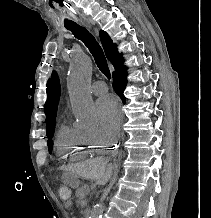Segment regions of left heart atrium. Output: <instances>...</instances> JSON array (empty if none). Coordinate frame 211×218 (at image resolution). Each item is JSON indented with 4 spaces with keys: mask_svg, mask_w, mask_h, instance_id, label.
Listing matches in <instances>:
<instances>
[{
    "mask_svg": "<svg viewBox=\"0 0 211 218\" xmlns=\"http://www.w3.org/2000/svg\"><path fill=\"white\" fill-rule=\"evenodd\" d=\"M96 111L102 129L110 135H115L122 119L121 106L114 96L107 95L96 103Z\"/></svg>",
    "mask_w": 211,
    "mask_h": 218,
    "instance_id": "obj_1",
    "label": "left heart atrium"
}]
</instances>
